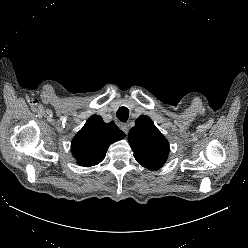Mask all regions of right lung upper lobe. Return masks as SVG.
I'll return each instance as SVG.
<instances>
[{
    "mask_svg": "<svg viewBox=\"0 0 248 248\" xmlns=\"http://www.w3.org/2000/svg\"><path fill=\"white\" fill-rule=\"evenodd\" d=\"M125 136L114 122L105 123L101 116L93 115L73 139L71 150L80 166H94L104 159L111 143Z\"/></svg>",
    "mask_w": 248,
    "mask_h": 248,
    "instance_id": "obj_1",
    "label": "right lung upper lobe"
}]
</instances>
